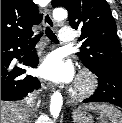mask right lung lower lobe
<instances>
[{"label":"right lung lower lobe","instance_id":"right-lung-lower-lobe-1","mask_svg":"<svg viewBox=\"0 0 122 123\" xmlns=\"http://www.w3.org/2000/svg\"><path fill=\"white\" fill-rule=\"evenodd\" d=\"M27 44L28 41L1 42V100H22L41 86L37 78L25 75L24 69L11 64L13 58H20V51H24ZM22 63L36 67L38 64L36 51L26 55Z\"/></svg>","mask_w":122,"mask_h":123}]
</instances>
